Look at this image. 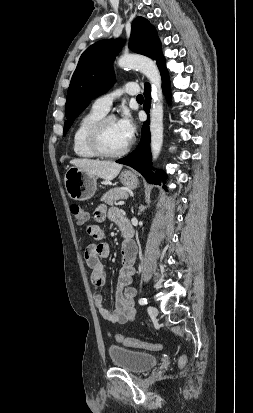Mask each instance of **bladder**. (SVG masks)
<instances>
[{
  "mask_svg": "<svg viewBox=\"0 0 253 413\" xmlns=\"http://www.w3.org/2000/svg\"><path fill=\"white\" fill-rule=\"evenodd\" d=\"M108 355L111 363L119 368L132 373H142L158 363V357L154 354L132 350L117 345L108 347Z\"/></svg>",
  "mask_w": 253,
  "mask_h": 413,
  "instance_id": "obj_1",
  "label": "bladder"
}]
</instances>
